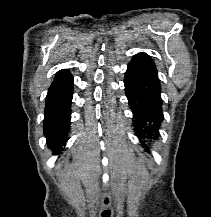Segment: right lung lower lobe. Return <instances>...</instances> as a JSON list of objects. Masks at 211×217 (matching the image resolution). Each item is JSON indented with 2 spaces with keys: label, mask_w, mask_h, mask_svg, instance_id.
Listing matches in <instances>:
<instances>
[{
  "label": "right lung lower lobe",
  "mask_w": 211,
  "mask_h": 217,
  "mask_svg": "<svg viewBox=\"0 0 211 217\" xmlns=\"http://www.w3.org/2000/svg\"><path fill=\"white\" fill-rule=\"evenodd\" d=\"M73 86L71 75L62 81L53 82L46 96L44 135L48 147L55 152H60L68 140Z\"/></svg>",
  "instance_id": "right-lung-lower-lobe-1"
}]
</instances>
